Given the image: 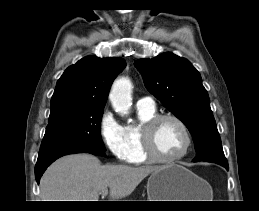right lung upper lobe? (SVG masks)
Masks as SVG:
<instances>
[{
	"label": "right lung upper lobe",
	"mask_w": 259,
	"mask_h": 211,
	"mask_svg": "<svg viewBox=\"0 0 259 211\" xmlns=\"http://www.w3.org/2000/svg\"><path fill=\"white\" fill-rule=\"evenodd\" d=\"M125 65L117 57L87 56L67 68L57 82L49 118L71 109H104L111 84Z\"/></svg>",
	"instance_id": "right-lung-upper-lobe-1"
}]
</instances>
